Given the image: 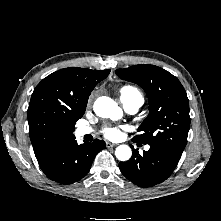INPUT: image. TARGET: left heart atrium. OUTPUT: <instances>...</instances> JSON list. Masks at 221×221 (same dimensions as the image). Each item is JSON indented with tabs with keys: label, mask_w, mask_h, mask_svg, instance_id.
<instances>
[{
	"label": "left heart atrium",
	"mask_w": 221,
	"mask_h": 221,
	"mask_svg": "<svg viewBox=\"0 0 221 221\" xmlns=\"http://www.w3.org/2000/svg\"><path fill=\"white\" fill-rule=\"evenodd\" d=\"M102 133L110 140H116L121 137V131L117 127H106L103 129Z\"/></svg>",
	"instance_id": "left-heart-atrium-1"
}]
</instances>
